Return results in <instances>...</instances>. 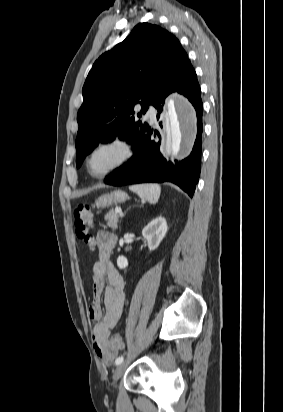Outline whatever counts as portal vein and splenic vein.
I'll return each instance as SVG.
<instances>
[{
    "label": "portal vein and splenic vein",
    "instance_id": "18ae733b",
    "mask_svg": "<svg viewBox=\"0 0 283 412\" xmlns=\"http://www.w3.org/2000/svg\"><path fill=\"white\" fill-rule=\"evenodd\" d=\"M115 212L122 214V210H121V208H119V207H116V208H115Z\"/></svg>",
    "mask_w": 283,
    "mask_h": 412
}]
</instances>
